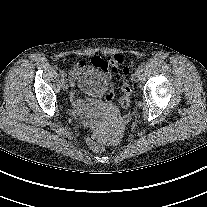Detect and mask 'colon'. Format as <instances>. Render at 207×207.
Here are the masks:
<instances>
[{"mask_svg":"<svg viewBox=\"0 0 207 207\" xmlns=\"http://www.w3.org/2000/svg\"><path fill=\"white\" fill-rule=\"evenodd\" d=\"M99 64L105 72L113 74L118 80L122 81L120 105L124 110H128L130 107L132 91L130 85L127 82V78L130 74V68L125 64L124 58L121 56H115L114 58L106 61L101 60L99 61ZM87 122V115L81 114L78 117V123L80 125H84ZM86 143L92 150L97 152H101L105 148L104 143L93 135L86 136Z\"/></svg>","mask_w":207,"mask_h":207,"instance_id":"1","label":"colon"}]
</instances>
